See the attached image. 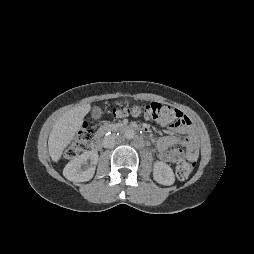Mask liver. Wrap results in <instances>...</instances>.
<instances>
[{"instance_id":"6515ba94","label":"liver","mask_w":254,"mask_h":254,"mask_svg":"<svg viewBox=\"0 0 254 254\" xmlns=\"http://www.w3.org/2000/svg\"><path fill=\"white\" fill-rule=\"evenodd\" d=\"M91 110L90 104H84L63 114L54 124L48 139V150L52 161L57 162L64 149L72 141L74 134L83 123L84 116Z\"/></svg>"}]
</instances>
